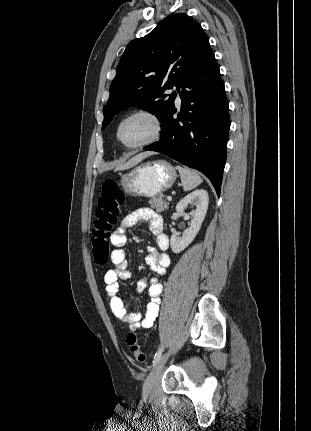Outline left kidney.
I'll return each instance as SVG.
<instances>
[{"instance_id":"left-kidney-1","label":"left kidney","mask_w":311,"mask_h":431,"mask_svg":"<svg viewBox=\"0 0 311 431\" xmlns=\"http://www.w3.org/2000/svg\"><path fill=\"white\" fill-rule=\"evenodd\" d=\"M208 202L209 198L206 190H195V192H191V194H188V196H185L183 200L178 202L176 212H178V214H183L184 219H190L191 223L190 227L184 229L182 237L171 235L170 245L174 253H180V251H183V249L193 241L206 216ZM188 206H190V208H195V210L194 212H190V214H184V210H186Z\"/></svg>"}]
</instances>
